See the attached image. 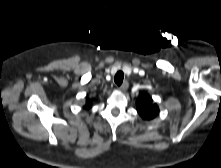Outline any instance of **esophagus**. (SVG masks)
Returning <instances> with one entry per match:
<instances>
[{
  "label": "esophagus",
  "mask_w": 221,
  "mask_h": 168,
  "mask_svg": "<svg viewBox=\"0 0 221 168\" xmlns=\"http://www.w3.org/2000/svg\"><path fill=\"white\" fill-rule=\"evenodd\" d=\"M128 88V83L127 82H124L120 87H119V90L121 91H126Z\"/></svg>",
  "instance_id": "1"
}]
</instances>
